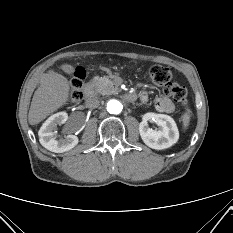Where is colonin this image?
<instances>
[{
    "label": "colon",
    "mask_w": 233,
    "mask_h": 233,
    "mask_svg": "<svg viewBox=\"0 0 233 233\" xmlns=\"http://www.w3.org/2000/svg\"><path fill=\"white\" fill-rule=\"evenodd\" d=\"M85 74L82 69H76L71 79L70 100L77 103L82 99V87ZM148 79L156 86H162L164 94L180 103L182 106H187V90L180 83L171 79V71L169 68L162 65H154L148 70ZM186 118L182 114L181 119Z\"/></svg>",
    "instance_id": "1"
}]
</instances>
